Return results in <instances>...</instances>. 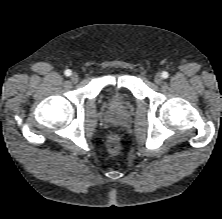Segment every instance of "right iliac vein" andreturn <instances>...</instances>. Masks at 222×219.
I'll list each match as a JSON object with an SVG mask.
<instances>
[{"mask_svg": "<svg viewBox=\"0 0 222 219\" xmlns=\"http://www.w3.org/2000/svg\"><path fill=\"white\" fill-rule=\"evenodd\" d=\"M72 82L76 83L79 80V76L76 72L72 73L70 76Z\"/></svg>", "mask_w": 222, "mask_h": 219, "instance_id": "obj_1", "label": "right iliac vein"}]
</instances>
